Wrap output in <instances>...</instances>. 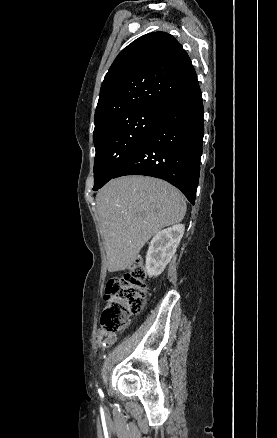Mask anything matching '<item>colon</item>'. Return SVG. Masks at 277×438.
I'll return each instance as SVG.
<instances>
[{
	"label": "colon",
	"instance_id": "colon-1",
	"mask_svg": "<svg viewBox=\"0 0 277 438\" xmlns=\"http://www.w3.org/2000/svg\"><path fill=\"white\" fill-rule=\"evenodd\" d=\"M145 269L136 263L131 274L115 277L110 281L105 294L109 297V305L101 314L99 333L106 334L111 330H123L131 322L134 315L141 312L148 294Z\"/></svg>",
	"mask_w": 277,
	"mask_h": 438
}]
</instances>
